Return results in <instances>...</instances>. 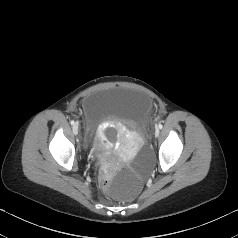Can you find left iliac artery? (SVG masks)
<instances>
[{"instance_id":"44dca946","label":"left iliac artery","mask_w":238,"mask_h":238,"mask_svg":"<svg viewBox=\"0 0 238 238\" xmlns=\"http://www.w3.org/2000/svg\"><path fill=\"white\" fill-rule=\"evenodd\" d=\"M158 127H159L160 129H162L163 125H162V124H159Z\"/></svg>"}]
</instances>
